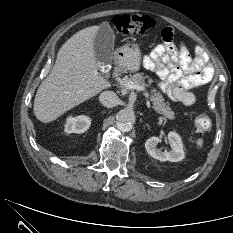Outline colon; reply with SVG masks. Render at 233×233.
Wrapping results in <instances>:
<instances>
[{
    "mask_svg": "<svg viewBox=\"0 0 233 233\" xmlns=\"http://www.w3.org/2000/svg\"><path fill=\"white\" fill-rule=\"evenodd\" d=\"M112 27L120 34H144L154 26L151 17L145 15H116L110 19ZM198 133H206L211 129V118L208 112L199 113L194 121Z\"/></svg>",
    "mask_w": 233,
    "mask_h": 233,
    "instance_id": "obj_1",
    "label": "colon"
}]
</instances>
